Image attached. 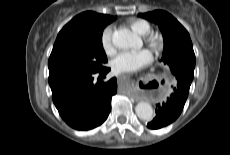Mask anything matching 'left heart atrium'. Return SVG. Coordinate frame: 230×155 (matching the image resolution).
<instances>
[{"mask_svg":"<svg viewBox=\"0 0 230 155\" xmlns=\"http://www.w3.org/2000/svg\"><path fill=\"white\" fill-rule=\"evenodd\" d=\"M152 60V52L148 49L123 51L112 60L111 67L116 73H131L147 66Z\"/></svg>","mask_w":230,"mask_h":155,"instance_id":"left-heart-atrium-1","label":"left heart atrium"}]
</instances>
